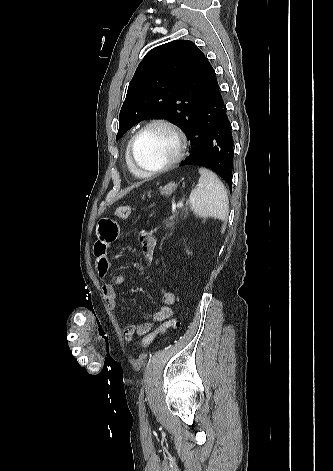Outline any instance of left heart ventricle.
<instances>
[{"instance_id":"1","label":"left heart ventricle","mask_w":333,"mask_h":471,"mask_svg":"<svg viewBox=\"0 0 333 471\" xmlns=\"http://www.w3.org/2000/svg\"><path fill=\"white\" fill-rule=\"evenodd\" d=\"M177 152V140L174 134L163 126H153L139 138L135 157L146 169L160 167L170 161Z\"/></svg>"}]
</instances>
